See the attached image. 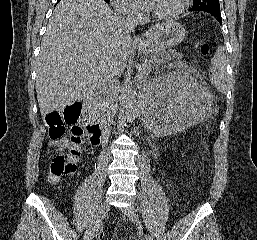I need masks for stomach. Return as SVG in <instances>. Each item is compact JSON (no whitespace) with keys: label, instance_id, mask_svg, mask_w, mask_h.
Listing matches in <instances>:
<instances>
[{"label":"stomach","instance_id":"0dacf381","mask_svg":"<svg viewBox=\"0 0 257 240\" xmlns=\"http://www.w3.org/2000/svg\"><path fill=\"white\" fill-rule=\"evenodd\" d=\"M185 35L184 25L168 21L157 25L147 41L136 45L135 48L141 53L160 52L181 43Z\"/></svg>","mask_w":257,"mask_h":240}]
</instances>
